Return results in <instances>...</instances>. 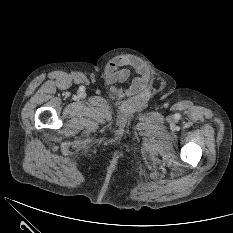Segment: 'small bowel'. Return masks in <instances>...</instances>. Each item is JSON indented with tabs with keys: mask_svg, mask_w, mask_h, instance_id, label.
<instances>
[{
	"mask_svg": "<svg viewBox=\"0 0 233 233\" xmlns=\"http://www.w3.org/2000/svg\"><path fill=\"white\" fill-rule=\"evenodd\" d=\"M131 69L137 73L127 86H120L126 82ZM105 81L111 87L112 93L117 97H131L143 91L150 79L147 65L135 56H116L104 68Z\"/></svg>",
	"mask_w": 233,
	"mask_h": 233,
	"instance_id": "c3829d8e",
	"label": "small bowel"
}]
</instances>
